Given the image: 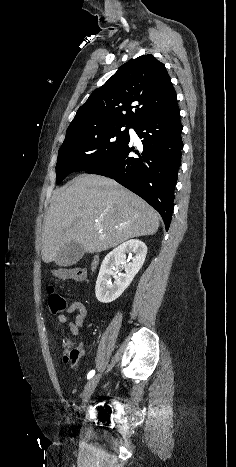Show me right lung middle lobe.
I'll use <instances>...</instances> for the list:
<instances>
[{"instance_id": "right-lung-middle-lobe-1", "label": "right lung middle lobe", "mask_w": 236, "mask_h": 467, "mask_svg": "<svg viewBox=\"0 0 236 467\" xmlns=\"http://www.w3.org/2000/svg\"><path fill=\"white\" fill-rule=\"evenodd\" d=\"M124 125H113L66 136L59 149L56 183L75 171L95 167L117 152L130 138Z\"/></svg>"}]
</instances>
